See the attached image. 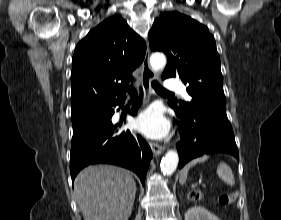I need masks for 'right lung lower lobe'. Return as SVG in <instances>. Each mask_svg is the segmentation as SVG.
Here are the masks:
<instances>
[{"label":"right lung lower lobe","instance_id":"obj_1","mask_svg":"<svg viewBox=\"0 0 281 220\" xmlns=\"http://www.w3.org/2000/svg\"><path fill=\"white\" fill-rule=\"evenodd\" d=\"M141 96L130 114H136ZM124 98L106 105L99 111L72 121L70 172L74 181L78 172L90 164H114L135 172L142 184L152 158V151L140 135L130 131L118 132L112 125L113 106L123 105Z\"/></svg>","mask_w":281,"mask_h":220}]
</instances>
